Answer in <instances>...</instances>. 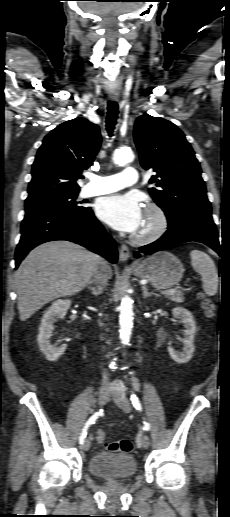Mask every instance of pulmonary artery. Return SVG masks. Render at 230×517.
Here are the masks:
<instances>
[{
    "instance_id": "1",
    "label": "pulmonary artery",
    "mask_w": 230,
    "mask_h": 517,
    "mask_svg": "<svg viewBox=\"0 0 230 517\" xmlns=\"http://www.w3.org/2000/svg\"><path fill=\"white\" fill-rule=\"evenodd\" d=\"M135 168L126 167L121 173L114 175H92L84 188L85 196H97L112 193L137 183Z\"/></svg>"
}]
</instances>
